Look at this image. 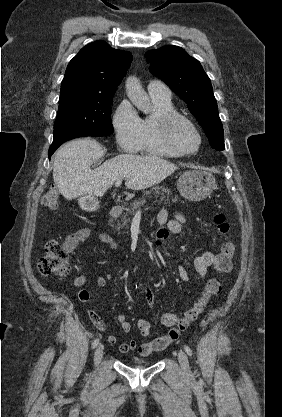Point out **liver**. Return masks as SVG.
<instances>
[{"mask_svg":"<svg viewBox=\"0 0 282 417\" xmlns=\"http://www.w3.org/2000/svg\"><path fill=\"white\" fill-rule=\"evenodd\" d=\"M103 154L102 146L93 138H76L63 144L53 164V178L59 192L68 200L79 194L103 196L109 186L123 178L127 188L142 190L162 182L178 168L161 156L117 154L92 170L91 164Z\"/></svg>","mask_w":282,"mask_h":417,"instance_id":"obj_1","label":"liver"}]
</instances>
